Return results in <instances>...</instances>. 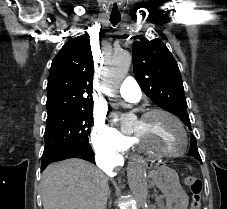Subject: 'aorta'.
Here are the masks:
<instances>
[{
    "label": "aorta",
    "instance_id": "aorta-1",
    "mask_svg": "<svg viewBox=\"0 0 227 209\" xmlns=\"http://www.w3.org/2000/svg\"><path fill=\"white\" fill-rule=\"evenodd\" d=\"M132 62V56L125 50L115 52L106 60L102 72V89L107 94L114 93L121 81L125 78ZM127 178L131 192L138 206L144 207L147 203L148 184L146 164L140 158H133L127 166Z\"/></svg>",
    "mask_w": 227,
    "mask_h": 209
}]
</instances>
